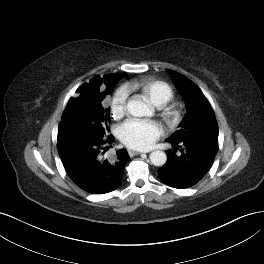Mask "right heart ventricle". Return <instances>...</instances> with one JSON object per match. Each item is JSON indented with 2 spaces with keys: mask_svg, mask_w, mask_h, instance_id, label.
Masks as SVG:
<instances>
[{
  "mask_svg": "<svg viewBox=\"0 0 264 264\" xmlns=\"http://www.w3.org/2000/svg\"><path fill=\"white\" fill-rule=\"evenodd\" d=\"M128 89L138 90L146 96L154 105L164 106L174 96L172 87L161 80L142 79L128 84Z\"/></svg>",
  "mask_w": 264,
  "mask_h": 264,
  "instance_id": "e07e8e85",
  "label": "right heart ventricle"
}]
</instances>
